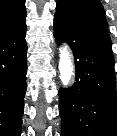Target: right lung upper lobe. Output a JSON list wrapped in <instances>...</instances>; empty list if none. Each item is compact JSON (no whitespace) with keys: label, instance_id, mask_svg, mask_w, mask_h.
<instances>
[{"label":"right lung upper lobe","instance_id":"cb5924a9","mask_svg":"<svg viewBox=\"0 0 117 136\" xmlns=\"http://www.w3.org/2000/svg\"><path fill=\"white\" fill-rule=\"evenodd\" d=\"M26 25L25 0H0V37Z\"/></svg>","mask_w":117,"mask_h":136}]
</instances>
